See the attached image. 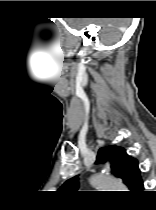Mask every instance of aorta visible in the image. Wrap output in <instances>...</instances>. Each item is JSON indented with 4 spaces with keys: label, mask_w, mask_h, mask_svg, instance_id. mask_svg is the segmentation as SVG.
Listing matches in <instances>:
<instances>
[{
    "label": "aorta",
    "mask_w": 156,
    "mask_h": 210,
    "mask_svg": "<svg viewBox=\"0 0 156 210\" xmlns=\"http://www.w3.org/2000/svg\"><path fill=\"white\" fill-rule=\"evenodd\" d=\"M90 182L92 186L102 191H121L125 187L118 180L106 175V174H95L91 177Z\"/></svg>",
    "instance_id": "obj_1"
}]
</instances>
